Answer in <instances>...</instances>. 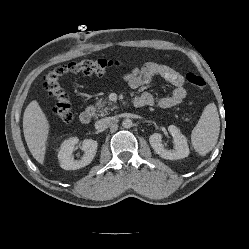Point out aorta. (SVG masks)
<instances>
[{
	"mask_svg": "<svg viewBox=\"0 0 249 249\" xmlns=\"http://www.w3.org/2000/svg\"><path fill=\"white\" fill-rule=\"evenodd\" d=\"M122 126L124 128H130L132 127V121L130 119H124L122 122Z\"/></svg>",
	"mask_w": 249,
	"mask_h": 249,
	"instance_id": "1",
	"label": "aorta"
}]
</instances>
